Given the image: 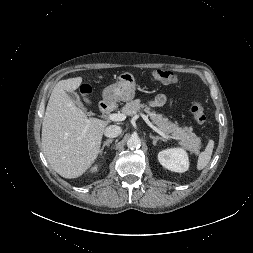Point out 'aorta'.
Segmentation results:
<instances>
[{"instance_id":"obj_1","label":"aorta","mask_w":253,"mask_h":253,"mask_svg":"<svg viewBox=\"0 0 253 253\" xmlns=\"http://www.w3.org/2000/svg\"><path fill=\"white\" fill-rule=\"evenodd\" d=\"M129 149H138L141 146V140L138 136H131L127 141Z\"/></svg>"}]
</instances>
